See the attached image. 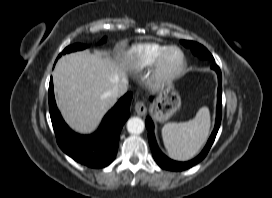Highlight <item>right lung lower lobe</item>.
Returning <instances> with one entry per match:
<instances>
[{
	"instance_id": "1",
	"label": "right lung lower lobe",
	"mask_w": 272,
	"mask_h": 198,
	"mask_svg": "<svg viewBox=\"0 0 272 198\" xmlns=\"http://www.w3.org/2000/svg\"><path fill=\"white\" fill-rule=\"evenodd\" d=\"M132 93L125 94L106 114L100 128L89 136L73 132L57 109L52 78L49 84V109L60 148L75 161L93 168L109 165L115 158L121 129L129 118Z\"/></svg>"
}]
</instances>
